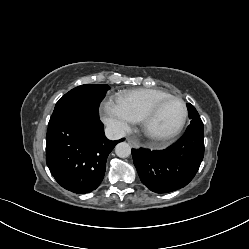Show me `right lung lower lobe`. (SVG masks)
I'll use <instances>...</instances> for the list:
<instances>
[{
    "mask_svg": "<svg viewBox=\"0 0 249 249\" xmlns=\"http://www.w3.org/2000/svg\"><path fill=\"white\" fill-rule=\"evenodd\" d=\"M123 140L105 137L98 114L72 115L48 127L47 166L63 188L80 194L91 192L103 180L109 153Z\"/></svg>",
    "mask_w": 249,
    "mask_h": 249,
    "instance_id": "right-lung-lower-lobe-1",
    "label": "right lung lower lobe"
}]
</instances>
